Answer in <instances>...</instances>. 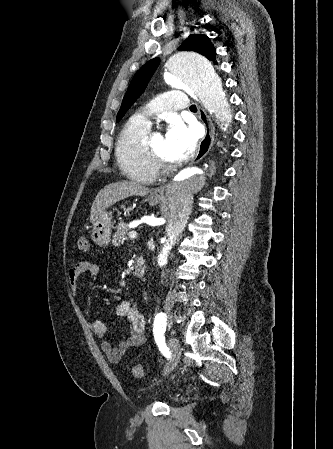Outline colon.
I'll list each match as a JSON object with an SVG mask.
<instances>
[{"label":"colon","mask_w":333,"mask_h":449,"mask_svg":"<svg viewBox=\"0 0 333 449\" xmlns=\"http://www.w3.org/2000/svg\"><path fill=\"white\" fill-rule=\"evenodd\" d=\"M78 248L81 252H87L90 249V239L86 234H83L78 239ZM133 375L136 378H142L145 375L143 366L136 365L133 367Z\"/></svg>","instance_id":"obj_1"}]
</instances>
